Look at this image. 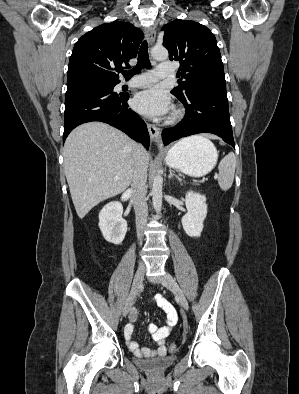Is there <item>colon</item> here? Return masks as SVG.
<instances>
[{
    "instance_id": "obj_1",
    "label": "colon",
    "mask_w": 299,
    "mask_h": 394,
    "mask_svg": "<svg viewBox=\"0 0 299 394\" xmlns=\"http://www.w3.org/2000/svg\"><path fill=\"white\" fill-rule=\"evenodd\" d=\"M169 349H170V350H173V349H174V345H170V346H169Z\"/></svg>"
}]
</instances>
